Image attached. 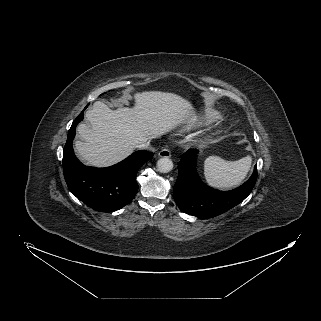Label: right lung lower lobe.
<instances>
[{
    "instance_id": "1",
    "label": "right lung lower lobe",
    "mask_w": 321,
    "mask_h": 321,
    "mask_svg": "<svg viewBox=\"0 0 321 321\" xmlns=\"http://www.w3.org/2000/svg\"><path fill=\"white\" fill-rule=\"evenodd\" d=\"M84 110L73 121L64 146L62 162L65 181L69 190L89 207L96 211L113 212L135 197L138 191L136 174L144 163L152 159L153 154L146 150L136 151L120 163L106 168L83 165L74 155L72 142L76 126L83 120Z\"/></svg>"
}]
</instances>
